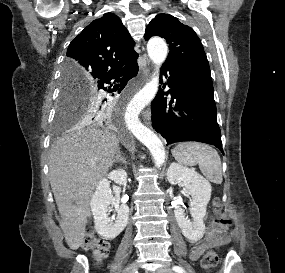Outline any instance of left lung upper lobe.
Segmentation results:
<instances>
[{
  "mask_svg": "<svg viewBox=\"0 0 285 273\" xmlns=\"http://www.w3.org/2000/svg\"><path fill=\"white\" fill-rule=\"evenodd\" d=\"M160 36L169 44L164 65L172 66L193 81L210 83L212 78L203 45L192 28L169 14H158L146 28L144 38Z\"/></svg>",
  "mask_w": 285,
  "mask_h": 273,
  "instance_id": "5c2ea615",
  "label": "left lung upper lobe"
}]
</instances>
